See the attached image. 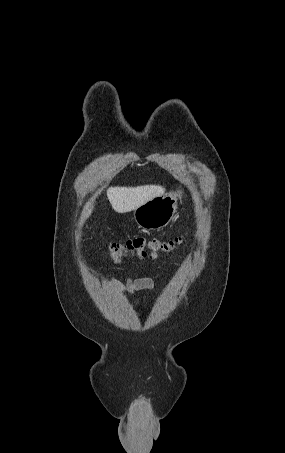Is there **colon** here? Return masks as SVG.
I'll list each match as a JSON object with an SVG mask.
<instances>
[{"label":"colon","instance_id":"colon-1","mask_svg":"<svg viewBox=\"0 0 285 453\" xmlns=\"http://www.w3.org/2000/svg\"><path fill=\"white\" fill-rule=\"evenodd\" d=\"M181 242L182 237L180 236L168 240L136 237L125 242H112L109 244L108 250L115 260H120L127 254H134L141 258L155 259L161 254H170Z\"/></svg>","mask_w":285,"mask_h":453}]
</instances>
